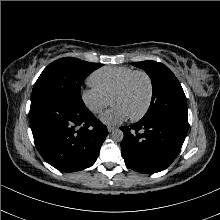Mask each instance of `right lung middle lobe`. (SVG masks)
<instances>
[{"instance_id": "obj_1", "label": "right lung middle lobe", "mask_w": 220, "mask_h": 220, "mask_svg": "<svg viewBox=\"0 0 220 220\" xmlns=\"http://www.w3.org/2000/svg\"><path fill=\"white\" fill-rule=\"evenodd\" d=\"M101 66L73 57L58 59L43 70L34 85L31 98L55 96L77 105H85L80 94L82 82Z\"/></svg>"}]
</instances>
